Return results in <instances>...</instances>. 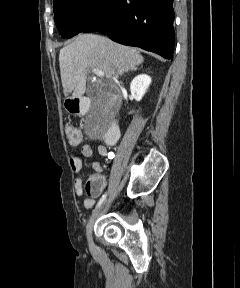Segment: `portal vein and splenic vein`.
Segmentation results:
<instances>
[{
    "instance_id": "1",
    "label": "portal vein and splenic vein",
    "mask_w": 240,
    "mask_h": 288,
    "mask_svg": "<svg viewBox=\"0 0 240 288\" xmlns=\"http://www.w3.org/2000/svg\"><path fill=\"white\" fill-rule=\"evenodd\" d=\"M92 71L95 75H97L98 77H103L104 76V72L102 70H99L97 68H92Z\"/></svg>"
}]
</instances>
